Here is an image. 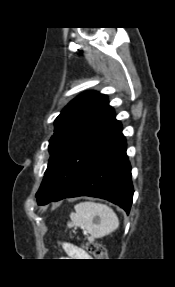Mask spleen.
<instances>
[{
    "mask_svg": "<svg viewBox=\"0 0 175 287\" xmlns=\"http://www.w3.org/2000/svg\"><path fill=\"white\" fill-rule=\"evenodd\" d=\"M75 213L70 214L68 227H80L90 234V239L102 238L119 226L116 213L109 206L96 202H81L74 206ZM99 221L96 222V218Z\"/></svg>",
    "mask_w": 175,
    "mask_h": 287,
    "instance_id": "spleen-1",
    "label": "spleen"
}]
</instances>
